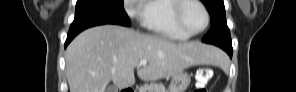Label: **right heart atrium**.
Returning <instances> with one entry per match:
<instances>
[{
    "label": "right heart atrium",
    "mask_w": 296,
    "mask_h": 92,
    "mask_svg": "<svg viewBox=\"0 0 296 92\" xmlns=\"http://www.w3.org/2000/svg\"><path fill=\"white\" fill-rule=\"evenodd\" d=\"M126 12L134 20H142L145 15V1L126 0Z\"/></svg>",
    "instance_id": "right-heart-atrium-1"
}]
</instances>
